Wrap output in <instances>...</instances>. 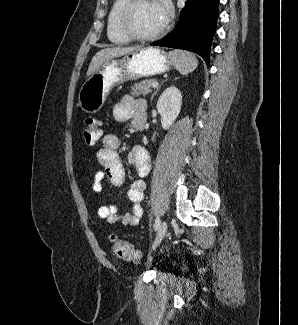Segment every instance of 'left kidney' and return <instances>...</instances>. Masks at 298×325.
I'll list each match as a JSON object with an SVG mask.
<instances>
[{"label": "left kidney", "mask_w": 298, "mask_h": 325, "mask_svg": "<svg viewBox=\"0 0 298 325\" xmlns=\"http://www.w3.org/2000/svg\"><path fill=\"white\" fill-rule=\"evenodd\" d=\"M156 108L161 116L162 128L168 130L179 116L182 108V92L177 86H168L160 94Z\"/></svg>", "instance_id": "left-kidney-1"}]
</instances>
